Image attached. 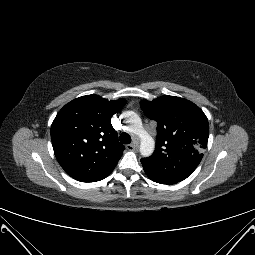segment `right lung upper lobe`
Returning a JSON list of instances; mask_svg holds the SVG:
<instances>
[{
    "label": "right lung upper lobe",
    "mask_w": 255,
    "mask_h": 255,
    "mask_svg": "<svg viewBox=\"0 0 255 255\" xmlns=\"http://www.w3.org/2000/svg\"><path fill=\"white\" fill-rule=\"evenodd\" d=\"M126 101H108L98 95L66 104L51 126L55 156L72 178L96 182L106 178L119 161L124 146L111 125V117Z\"/></svg>",
    "instance_id": "right-lung-upper-lobe-1"
}]
</instances>
